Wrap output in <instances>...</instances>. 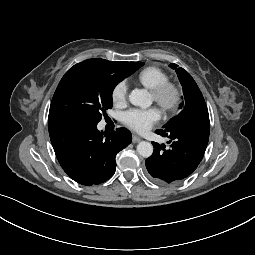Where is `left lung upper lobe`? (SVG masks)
I'll list each match as a JSON object with an SVG mask.
<instances>
[{
  "instance_id": "left-lung-upper-lobe-1",
  "label": "left lung upper lobe",
  "mask_w": 255,
  "mask_h": 255,
  "mask_svg": "<svg viewBox=\"0 0 255 255\" xmlns=\"http://www.w3.org/2000/svg\"><path fill=\"white\" fill-rule=\"evenodd\" d=\"M169 66L172 69L176 70V73L178 75L180 83L183 87L184 95L182 97L183 101L179 107L180 112L192 104L204 101L203 95H202L200 89L198 88L196 82L191 77V75L187 71H185L183 68L178 67V65H176V64H170ZM177 116H175L171 120H169L168 123L164 127H166L170 123H172Z\"/></svg>"
}]
</instances>
